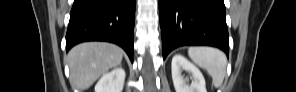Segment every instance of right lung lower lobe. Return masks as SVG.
Here are the masks:
<instances>
[{"mask_svg": "<svg viewBox=\"0 0 296 92\" xmlns=\"http://www.w3.org/2000/svg\"><path fill=\"white\" fill-rule=\"evenodd\" d=\"M136 0H74L66 34V49L84 41H108L121 46L133 61Z\"/></svg>", "mask_w": 296, "mask_h": 92, "instance_id": "obj_1", "label": "right lung lower lobe"}]
</instances>
